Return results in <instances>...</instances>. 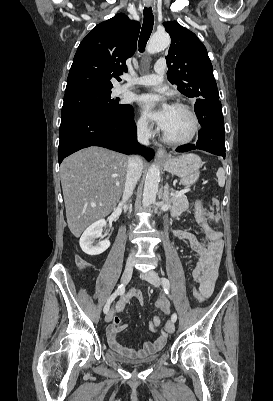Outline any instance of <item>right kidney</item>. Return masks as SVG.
I'll use <instances>...</instances> for the list:
<instances>
[{"label": "right kidney", "instance_id": "ca27d5eb", "mask_svg": "<svg viewBox=\"0 0 273 401\" xmlns=\"http://www.w3.org/2000/svg\"><path fill=\"white\" fill-rule=\"evenodd\" d=\"M106 221L104 219H100V221H96V223H92L86 231H84L80 241L79 245L86 253V255H101V253H104L108 247H110L109 241H99L97 245H94L95 239H98V237H101L103 227H105Z\"/></svg>", "mask_w": 273, "mask_h": 401}]
</instances>
